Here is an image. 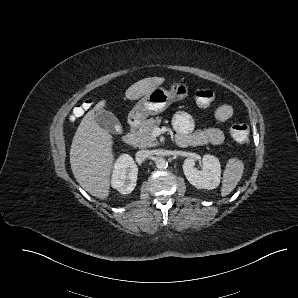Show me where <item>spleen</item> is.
Listing matches in <instances>:
<instances>
[{
  "instance_id": "spleen-1",
  "label": "spleen",
  "mask_w": 298,
  "mask_h": 298,
  "mask_svg": "<svg viewBox=\"0 0 298 298\" xmlns=\"http://www.w3.org/2000/svg\"><path fill=\"white\" fill-rule=\"evenodd\" d=\"M243 171V165L236 161L231 160L226 166V170L223 178L222 195L229 194L236 184L239 182Z\"/></svg>"
}]
</instances>
